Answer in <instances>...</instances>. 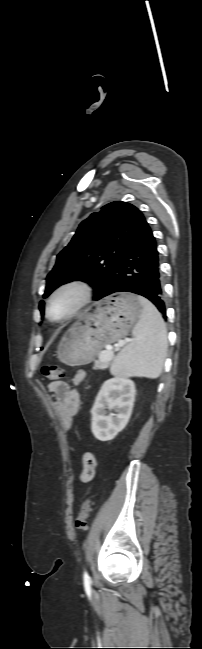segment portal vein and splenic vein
I'll list each match as a JSON object with an SVG mask.
<instances>
[{
  "mask_svg": "<svg viewBox=\"0 0 202 649\" xmlns=\"http://www.w3.org/2000/svg\"><path fill=\"white\" fill-rule=\"evenodd\" d=\"M126 342H128V341L127 340L119 341L118 347H122ZM107 350H112V347L107 348ZM112 358H113V355L107 354L106 351H103L102 354L99 356V359L102 360V361H111Z\"/></svg>",
  "mask_w": 202,
  "mask_h": 649,
  "instance_id": "18ae733b",
  "label": "portal vein and splenic vein"
}]
</instances>
